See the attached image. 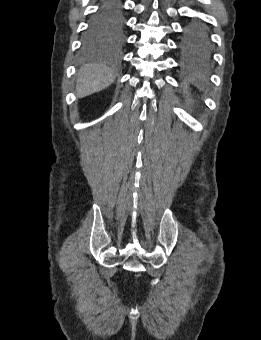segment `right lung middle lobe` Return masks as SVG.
I'll return each mask as SVG.
<instances>
[{
    "label": "right lung middle lobe",
    "mask_w": 261,
    "mask_h": 340,
    "mask_svg": "<svg viewBox=\"0 0 261 340\" xmlns=\"http://www.w3.org/2000/svg\"><path fill=\"white\" fill-rule=\"evenodd\" d=\"M124 16L118 14L95 13L89 22L84 36L86 46H94L108 40H120L123 37Z\"/></svg>",
    "instance_id": "1"
}]
</instances>
